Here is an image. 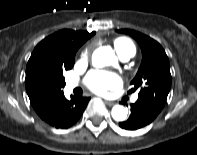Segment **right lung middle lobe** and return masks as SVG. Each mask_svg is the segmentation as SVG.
Returning a JSON list of instances; mask_svg holds the SVG:
<instances>
[{
    "mask_svg": "<svg viewBox=\"0 0 197 155\" xmlns=\"http://www.w3.org/2000/svg\"><path fill=\"white\" fill-rule=\"evenodd\" d=\"M74 57L73 55L67 59H62L50 68L41 70L36 77V83L45 89L64 87L63 71L73 67Z\"/></svg>",
    "mask_w": 197,
    "mask_h": 155,
    "instance_id": "right-lung-middle-lobe-1",
    "label": "right lung middle lobe"
}]
</instances>
